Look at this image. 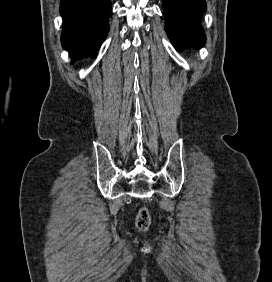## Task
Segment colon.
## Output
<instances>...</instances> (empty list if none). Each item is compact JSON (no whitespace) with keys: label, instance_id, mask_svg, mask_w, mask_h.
Returning <instances> with one entry per match:
<instances>
[{"label":"colon","instance_id":"colon-1","mask_svg":"<svg viewBox=\"0 0 272 282\" xmlns=\"http://www.w3.org/2000/svg\"><path fill=\"white\" fill-rule=\"evenodd\" d=\"M150 223L151 215L149 210L144 206L140 207L135 220L136 227L139 230L143 231L150 226Z\"/></svg>","mask_w":272,"mask_h":282}]
</instances>
